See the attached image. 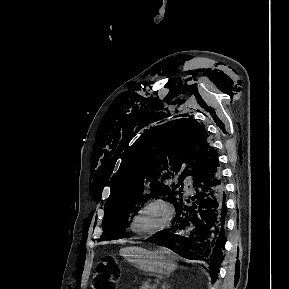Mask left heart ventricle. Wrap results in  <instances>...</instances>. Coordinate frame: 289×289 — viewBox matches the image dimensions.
<instances>
[{"label":"left heart ventricle","mask_w":289,"mask_h":289,"mask_svg":"<svg viewBox=\"0 0 289 289\" xmlns=\"http://www.w3.org/2000/svg\"><path fill=\"white\" fill-rule=\"evenodd\" d=\"M166 218L165 211L158 206L145 210L136 222V228L141 231H150L161 226Z\"/></svg>","instance_id":"left-heart-ventricle-1"}]
</instances>
